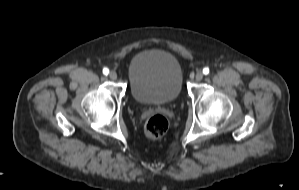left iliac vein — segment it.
Masks as SVG:
<instances>
[{"label": "left iliac vein", "instance_id": "4c4485c4", "mask_svg": "<svg viewBox=\"0 0 299 190\" xmlns=\"http://www.w3.org/2000/svg\"><path fill=\"white\" fill-rule=\"evenodd\" d=\"M195 79L197 81H201L203 79V73L201 71H198L195 75Z\"/></svg>", "mask_w": 299, "mask_h": 190}]
</instances>
